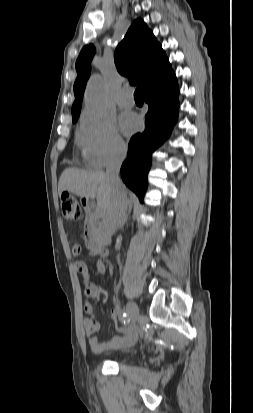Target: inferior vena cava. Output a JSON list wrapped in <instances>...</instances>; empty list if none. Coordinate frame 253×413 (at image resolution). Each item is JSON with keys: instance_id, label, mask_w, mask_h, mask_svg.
I'll return each mask as SVG.
<instances>
[{"instance_id": "1", "label": "inferior vena cava", "mask_w": 253, "mask_h": 413, "mask_svg": "<svg viewBox=\"0 0 253 413\" xmlns=\"http://www.w3.org/2000/svg\"><path fill=\"white\" fill-rule=\"evenodd\" d=\"M127 154L126 146H119L112 155L106 169L107 178L113 189V199L100 228L99 236L103 243L109 244L113 233L122 225L127 211V196L124 185L119 178L122 162Z\"/></svg>"}]
</instances>
